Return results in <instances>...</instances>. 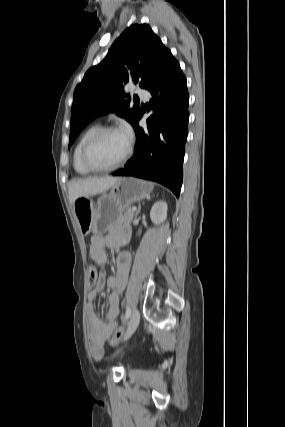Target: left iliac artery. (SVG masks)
Listing matches in <instances>:
<instances>
[{
	"instance_id": "44dca946",
	"label": "left iliac artery",
	"mask_w": 285,
	"mask_h": 427,
	"mask_svg": "<svg viewBox=\"0 0 285 427\" xmlns=\"http://www.w3.org/2000/svg\"><path fill=\"white\" fill-rule=\"evenodd\" d=\"M130 315H131V309L129 306L126 305V313L124 316V320H127L130 317Z\"/></svg>"
}]
</instances>
